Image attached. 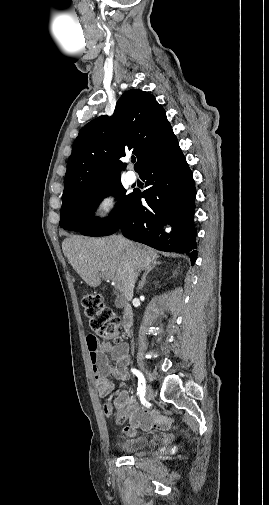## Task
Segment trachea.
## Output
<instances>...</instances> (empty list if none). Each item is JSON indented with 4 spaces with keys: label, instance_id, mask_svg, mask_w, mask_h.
<instances>
[{
    "label": "trachea",
    "instance_id": "1",
    "mask_svg": "<svg viewBox=\"0 0 269 505\" xmlns=\"http://www.w3.org/2000/svg\"><path fill=\"white\" fill-rule=\"evenodd\" d=\"M135 162H136V159H135V158H133V159H132V163H135Z\"/></svg>",
    "mask_w": 269,
    "mask_h": 505
}]
</instances>
